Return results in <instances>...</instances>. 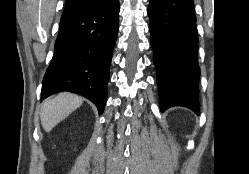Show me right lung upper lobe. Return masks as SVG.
<instances>
[{
    "instance_id": "obj_1",
    "label": "right lung upper lobe",
    "mask_w": 249,
    "mask_h": 174,
    "mask_svg": "<svg viewBox=\"0 0 249 174\" xmlns=\"http://www.w3.org/2000/svg\"><path fill=\"white\" fill-rule=\"evenodd\" d=\"M106 1H109V0H66V5H65L63 15H68L82 8L104 3Z\"/></svg>"
}]
</instances>
